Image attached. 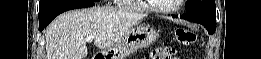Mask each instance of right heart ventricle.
Returning a JSON list of instances; mask_svg holds the SVG:
<instances>
[{
    "mask_svg": "<svg viewBox=\"0 0 261 59\" xmlns=\"http://www.w3.org/2000/svg\"><path fill=\"white\" fill-rule=\"evenodd\" d=\"M117 3L125 6H136L135 1L133 0H117ZM139 10L143 11L144 8H139Z\"/></svg>",
    "mask_w": 261,
    "mask_h": 59,
    "instance_id": "right-heart-ventricle-1",
    "label": "right heart ventricle"
}]
</instances>
